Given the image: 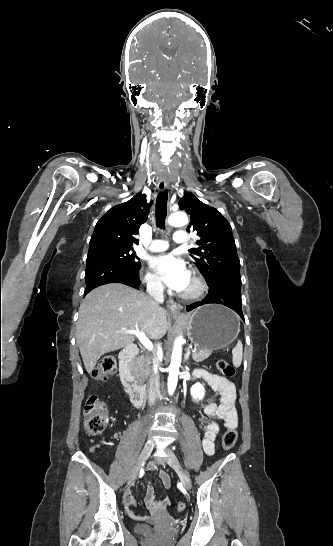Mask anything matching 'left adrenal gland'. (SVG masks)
Listing matches in <instances>:
<instances>
[{
    "mask_svg": "<svg viewBox=\"0 0 333 546\" xmlns=\"http://www.w3.org/2000/svg\"><path fill=\"white\" fill-rule=\"evenodd\" d=\"M189 356H190V349L187 350V353L185 355V360H186L187 364H189L188 363Z\"/></svg>",
    "mask_w": 333,
    "mask_h": 546,
    "instance_id": "obj_1",
    "label": "left adrenal gland"
}]
</instances>
